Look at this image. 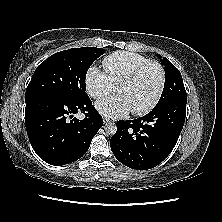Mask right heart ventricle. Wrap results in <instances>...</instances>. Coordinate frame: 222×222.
I'll use <instances>...</instances> for the list:
<instances>
[{
    "instance_id": "e07e8e85",
    "label": "right heart ventricle",
    "mask_w": 222,
    "mask_h": 222,
    "mask_svg": "<svg viewBox=\"0 0 222 222\" xmlns=\"http://www.w3.org/2000/svg\"><path fill=\"white\" fill-rule=\"evenodd\" d=\"M148 61L143 55L119 51L114 52L103 60L105 72L115 86L130 74L138 65Z\"/></svg>"
}]
</instances>
